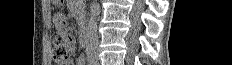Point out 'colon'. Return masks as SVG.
I'll use <instances>...</instances> for the list:
<instances>
[{
    "instance_id": "1",
    "label": "colon",
    "mask_w": 232,
    "mask_h": 65,
    "mask_svg": "<svg viewBox=\"0 0 232 65\" xmlns=\"http://www.w3.org/2000/svg\"><path fill=\"white\" fill-rule=\"evenodd\" d=\"M75 45L72 37H56L52 43L53 59L56 64L63 65L69 62L74 54Z\"/></svg>"
}]
</instances>
